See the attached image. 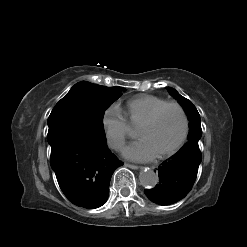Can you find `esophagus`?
Here are the masks:
<instances>
[{
  "mask_svg": "<svg viewBox=\"0 0 247 247\" xmlns=\"http://www.w3.org/2000/svg\"><path fill=\"white\" fill-rule=\"evenodd\" d=\"M125 166H126V167H129V168H131V169H134V170H137V169L140 168V167L137 166V165H133V164H129V163H125Z\"/></svg>",
  "mask_w": 247,
  "mask_h": 247,
  "instance_id": "obj_1",
  "label": "esophagus"
}]
</instances>
